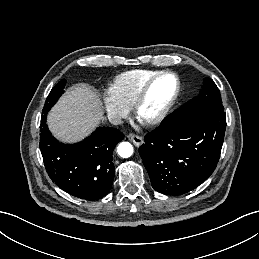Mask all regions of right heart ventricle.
<instances>
[{
  "instance_id": "obj_1",
  "label": "right heart ventricle",
  "mask_w": 259,
  "mask_h": 259,
  "mask_svg": "<svg viewBox=\"0 0 259 259\" xmlns=\"http://www.w3.org/2000/svg\"><path fill=\"white\" fill-rule=\"evenodd\" d=\"M158 71L135 69L119 74L113 81L111 93L125 106L131 108L143 85Z\"/></svg>"
}]
</instances>
